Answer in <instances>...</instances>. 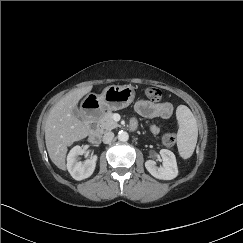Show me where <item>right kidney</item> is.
I'll use <instances>...</instances> for the list:
<instances>
[{
	"label": "right kidney",
	"mask_w": 243,
	"mask_h": 243,
	"mask_svg": "<svg viewBox=\"0 0 243 243\" xmlns=\"http://www.w3.org/2000/svg\"><path fill=\"white\" fill-rule=\"evenodd\" d=\"M84 153V149L77 145L74 146L67 156V169L68 172L75 180H83L90 177L96 167L97 155L85 160L84 162L78 161V156Z\"/></svg>",
	"instance_id": "obj_1"
}]
</instances>
